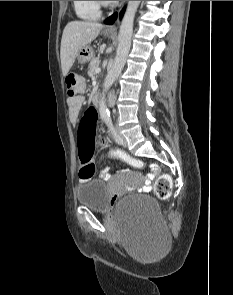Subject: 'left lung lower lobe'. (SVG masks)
Here are the masks:
<instances>
[{
  "mask_svg": "<svg viewBox=\"0 0 233 295\" xmlns=\"http://www.w3.org/2000/svg\"><path fill=\"white\" fill-rule=\"evenodd\" d=\"M123 13H124V10H122L121 11V13H120V16L122 17V15H123ZM117 13H114L113 15H111L110 17H108L105 21H104V23L105 24H113L114 23V21L116 20V18H117Z\"/></svg>",
  "mask_w": 233,
  "mask_h": 295,
  "instance_id": "obj_1",
  "label": "left lung lower lobe"
}]
</instances>
